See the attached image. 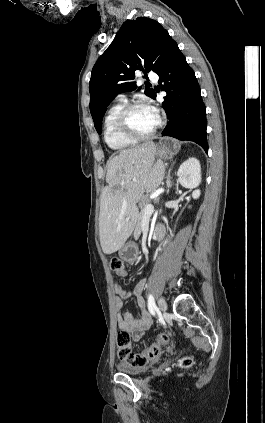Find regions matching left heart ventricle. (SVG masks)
<instances>
[{
  "instance_id": "obj_1",
  "label": "left heart ventricle",
  "mask_w": 265,
  "mask_h": 423,
  "mask_svg": "<svg viewBox=\"0 0 265 423\" xmlns=\"http://www.w3.org/2000/svg\"><path fill=\"white\" fill-rule=\"evenodd\" d=\"M157 120V117L147 107L134 109L128 117L131 129L137 134H147L152 131L157 124Z\"/></svg>"
}]
</instances>
